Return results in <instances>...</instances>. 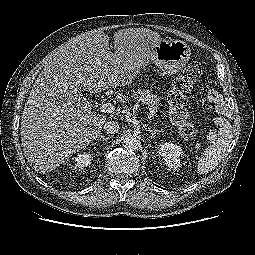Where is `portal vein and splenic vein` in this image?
<instances>
[{"mask_svg": "<svg viewBox=\"0 0 255 255\" xmlns=\"http://www.w3.org/2000/svg\"><path fill=\"white\" fill-rule=\"evenodd\" d=\"M115 109H116V107L112 103L102 104L100 107V111L103 113H113V112H115ZM153 113H154L153 110H149L148 118L150 120H152L154 118Z\"/></svg>", "mask_w": 255, "mask_h": 255, "instance_id": "obj_1", "label": "portal vein and splenic vein"}]
</instances>
